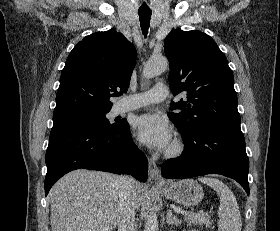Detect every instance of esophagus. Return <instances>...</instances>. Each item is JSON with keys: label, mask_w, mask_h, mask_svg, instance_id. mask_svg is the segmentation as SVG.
<instances>
[{"label": "esophagus", "mask_w": 280, "mask_h": 231, "mask_svg": "<svg viewBox=\"0 0 280 231\" xmlns=\"http://www.w3.org/2000/svg\"><path fill=\"white\" fill-rule=\"evenodd\" d=\"M148 170H149V176L154 181H160L162 180L160 176L159 168L154 160L152 158H148Z\"/></svg>", "instance_id": "obj_1"}]
</instances>
